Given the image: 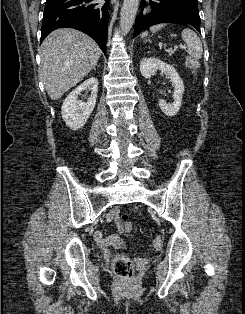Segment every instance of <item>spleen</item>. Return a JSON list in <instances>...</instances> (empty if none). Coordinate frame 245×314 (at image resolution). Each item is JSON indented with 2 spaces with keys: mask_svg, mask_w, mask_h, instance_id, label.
I'll return each mask as SVG.
<instances>
[{
  "mask_svg": "<svg viewBox=\"0 0 245 314\" xmlns=\"http://www.w3.org/2000/svg\"><path fill=\"white\" fill-rule=\"evenodd\" d=\"M165 26L166 24H162V23L157 24V25L151 26L150 31L152 33H155L161 30ZM147 35H148V31H144L141 36L146 37ZM182 39L188 47L187 53L195 59H200L202 57L203 47H202L201 40L197 36V34L191 29H184L182 32Z\"/></svg>",
  "mask_w": 245,
  "mask_h": 314,
  "instance_id": "obj_1",
  "label": "spleen"
}]
</instances>
